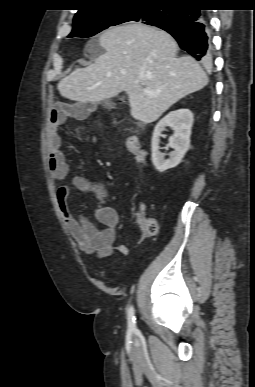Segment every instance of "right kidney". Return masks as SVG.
I'll use <instances>...</instances> for the list:
<instances>
[{
  "mask_svg": "<svg viewBox=\"0 0 255 387\" xmlns=\"http://www.w3.org/2000/svg\"><path fill=\"white\" fill-rule=\"evenodd\" d=\"M193 114L189 109H179L168 113L155 126L151 147L152 162L159 172L176 167L190 147V135L193 125ZM171 127L174 131L169 138V146L173 148L169 159H164L165 154L160 152L161 132Z\"/></svg>",
  "mask_w": 255,
  "mask_h": 387,
  "instance_id": "ca27d5eb",
  "label": "right kidney"
}]
</instances>
